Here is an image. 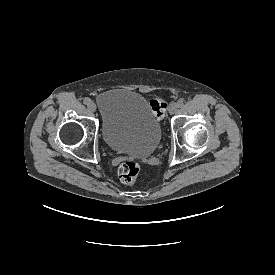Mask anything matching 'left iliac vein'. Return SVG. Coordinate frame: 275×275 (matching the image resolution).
<instances>
[{
  "label": "left iliac vein",
  "mask_w": 275,
  "mask_h": 275,
  "mask_svg": "<svg viewBox=\"0 0 275 275\" xmlns=\"http://www.w3.org/2000/svg\"><path fill=\"white\" fill-rule=\"evenodd\" d=\"M177 104L176 103H171L169 106V113L170 114H174L177 111Z\"/></svg>",
  "instance_id": "left-iliac-vein-1"
}]
</instances>
